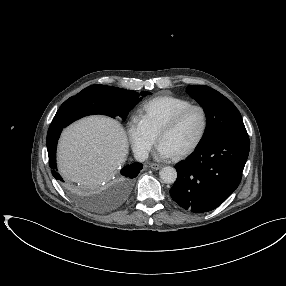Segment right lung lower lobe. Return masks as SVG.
Segmentation results:
<instances>
[{
	"label": "right lung lower lobe",
	"instance_id": "obj_1",
	"mask_svg": "<svg viewBox=\"0 0 286 286\" xmlns=\"http://www.w3.org/2000/svg\"><path fill=\"white\" fill-rule=\"evenodd\" d=\"M64 126L58 125L55 122H52L48 133H47V139H46V145L48 150V157H49V166L52 169V174L56 180L63 181L62 177L57 171L56 167V146L57 141L60 136V133L62 131ZM143 165L141 163H133L129 166L124 167L121 170L122 182L124 187H128L130 183L132 182V179L135 178L140 170L142 169Z\"/></svg>",
	"mask_w": 286,
	"mask_h": 286
}]
</instances>
